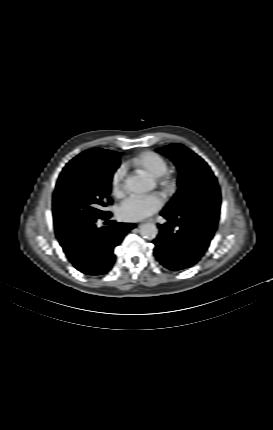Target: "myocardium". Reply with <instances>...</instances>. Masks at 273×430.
<instances>
[{
  "mask_svg": "<svg viewBox=\"0 0 273 430\" xmlns=\"http://www.w3.org/2000/svg\"><path fill=\"white\" fill-rule=\"evenodd\" d=\"M156 182L164 190L169 191L175 186V176L166 170L163 174L156 177Z\"/></svg>",
  "mask_w": 273,
  "mask_h": 430,
  "instance_id": "f54148a6",
  "label": "myocardium"
}]
</instances>
